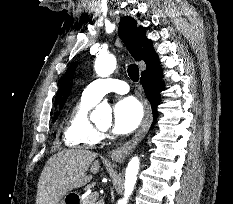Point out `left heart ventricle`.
Here are the masks:
<instances>
[{
	"instance_id": "1",
	"label": "left heart ventricle",
	"mask_w": 233,
	"mask_h": 204,
	"mask_svg": "<svg viewBox=\"0 0 233 204\" xmlns=\"http://www.w3.org/2000/svg\"><path fill=\"white\" fill-rule=\"evenodd\" d=\"M108 125H109L108 122H104V123L100 124L99 126H100L101 128L106 129V128L108 127Z\"/></svg>"
}]
</instances>
